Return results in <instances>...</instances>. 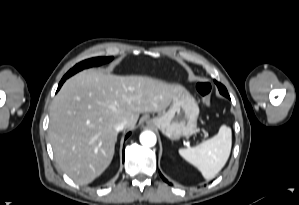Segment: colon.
Here are the masks:
<instances>
[{
  "instance_id": "obj_1",
  "label": "colon",
  "mask_w": 299,
  "mask_h": 205,
  "mask_svg": "<svg viewBox=\"0 0 299 205\" xmlns=\"http://www.w3.org/2000/svg\"><path fill=\"white\" fill-rule=\"evenodd\" d=\"M197 91L201 96L202 102L205 106L209 107L211 104L210 95L212 86L208 81L201 80L196 85Z\"/></svg>"
}]
</instances>
